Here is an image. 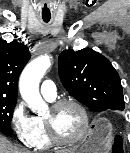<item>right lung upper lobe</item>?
<instances>
[{"label": "right lung upper lobe", "instance_id": "cb5924a9", "mask_svg": "<svg viewBox=\"0 0 130 153\" xmlns=\"http://www.w3.org/2000/svg\"><path fill=\"white\" fill-rule=\"evenodd\" d=\"M29 59L22 43L0 40V97L17 100L19 75Z\"/></svg>", "mask_w": 130, "mask_h": 153}]
</instances>
